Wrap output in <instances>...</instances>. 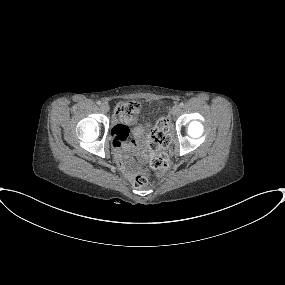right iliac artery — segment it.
<instances>
[{
	"mask_svg": "<svg viewBox=\"0 0 285 285\" xmlns=\"http://www.w3.org/2000/svg\"><path fill=\"white\" fill-rule=\"evenodd\" d=\"M97 105H101V101H97Z\"/></svg>",
	"mask_w": 285,
	"mask_h": 285,
	"instance_id": "right-iliac-artery-1",
	"label": "right iliac artery"
}]
</instances>
